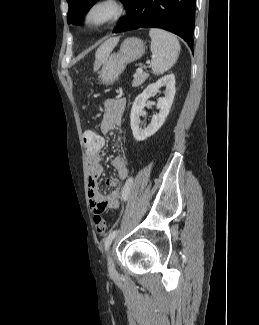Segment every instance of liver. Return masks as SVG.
<instances>
[{"label":"liver","instance_id":"6515ba94","mask_svg":"<svg viewBox=\"0 0 259 325\" xmlns=\"http://www.w3.org/2000/svg\"><path fill=\"white\" fill-rule=\"evenodd\" d=\"M118 41L119 37L110 38L97 49L95 54L94 71L98 70L100 66L107 60L114 47L117 45Z\"/></svg>","mask_w":259,"mask_h":325}]
</instances>
